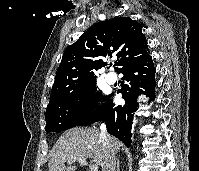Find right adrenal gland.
<instances>
[{"label":"right adrenal gland","instance_id":"right-adrenal-gland-1","mask_svg":"<svg viewBox=\"0 0 199 171\" xmlns=\"http://www.w3.org/2000/svg\"><path fill=\"white\" fill-rule=\"evenodd\" d=\"M117 171H120V162L118 159H117Z\"/></svg>","mask_w":199,"mask_h":171}]
</instances>
